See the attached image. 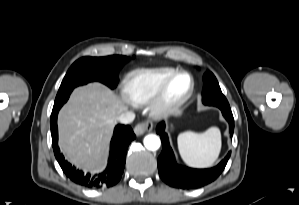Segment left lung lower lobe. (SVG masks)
<instances>
[{
	"instance_id": "left-lung-lower-lobe-1",
	"label": "left lung lower lobe",
	"mask_w": 299,
	"mask_h": 205,
	"mask_svg": "<svg viewBox=\"0 0 299 205\" xmlns=\"http://www.w3.org/2000/svg\"><path fill=\"white\" fill-rule=\"evenodd\" d=\"M218 107L225 119L229 122L230 135L234 131V118L228 101L221 103L206 104ZM165 123L157 126V133L163 143V150L158 157V170L161 179L171 187L179 189L200 188L214 181L224 170L231 152L216 166L210 169H193L178 165L175 161L173 151L169 145L168 136L165 133Z\"/></svg>"
}]
</instances>
